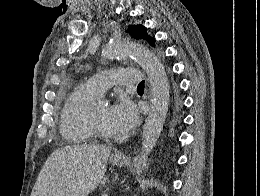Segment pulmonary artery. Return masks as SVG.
<instances>
[{"label": "pulmonary artery", "mask_w": 260, "mask_h": 196, "mask_svg": "<svg viewBox=\"0 0 260 196\" xmlns=\"http://www.w3.org/2000/svg\"><path fill=\"white\" fill-rule=\"evenodd\" d=\"M139 69H102L99 76L90 79L92 88L100 96L109 88V84H140ZM109 81V84H107Z\"/></svg>", "instance_id": "e3ab8cb5"}]
</instances>
